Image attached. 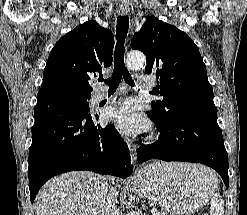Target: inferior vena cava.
<instances>
[{
  "mask_svg": "<svg viewBox=\"0 0 247 215\" xmlns=\"http://www.w3.org/2000/svg\"><path fill=\"white\" fill-rule=\"evenodd\" d=\"M118 192L110 189L105 202L104 215H120V210L116 206Z\"/></svg>",
  "mask_w": 247,
  "mask_h": 215,
  "instance_id": "1",
  "label": "inferior vena cava"
}]
</instances>
